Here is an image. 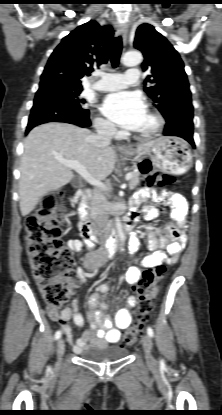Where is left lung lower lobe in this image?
I'll list each match as a JSON object with an SVG mask.
<instances>
[{"instance_id": "0a47b994", "label": "left lung lower lobe", "mask_w": 222, "mask_h": 415, "mask_svg": "<svg viewBox=\"0 0 222 415\" xmlns=\"http://www.w3.org/2000/svg\"><path fill=\"white\" fill-rule=\"evenodd\" d=\"M193 106L187 105L182 112L179 119H172L166 121V126L163 134L166 136H178L187 140L193 147H195L193 139Z\"/></svg>"}]
</instances>
